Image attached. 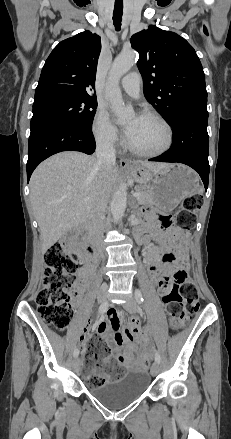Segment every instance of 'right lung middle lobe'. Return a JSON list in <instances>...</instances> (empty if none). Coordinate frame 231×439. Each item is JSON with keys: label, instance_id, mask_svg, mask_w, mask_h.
I'll return each instance as SVG.
<instances>
[{"label": "right lung middle lobe", "instance_id": "dd1d6c3e", "mask_svg": "<svg viewBox=\"0 0 231 439\" xmlns=\"http://www.w3.org/2000/svg\"><path fill=\"white\" fill-rule=\"evenodd\" d=\"M96 108L97 100L90 96L60 93L37 98L33 103L30 134L61 123L92 129Z\"/></svg>", "mask_w": 231, "mask_h": 439}]
</instances>
